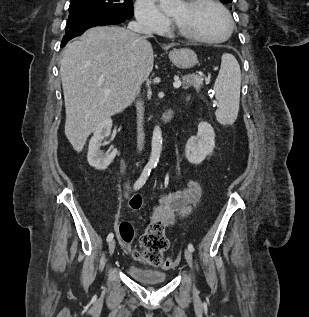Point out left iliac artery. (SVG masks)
Returning a JSON list of instances; mask_svg holds the SVG:
<instances>
[{
    "label": "left iliac artery",
    "mask_w": 309,
    "mask_h": 317,
    "mask_svg": "<svg viewBox=\"0 0 309 317\" xmlns=\"http://www.w3.org/2000/svg\"><path fill=\"white\" fill-rule=\"evenodd\" d=\"M188 249L193 252L194 251V246L190 243L188 244Z\"/></svg>",
    "instance_id": "44dca946"
}]
</instances>
